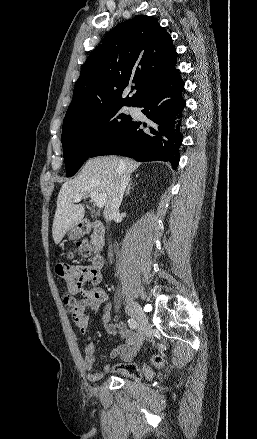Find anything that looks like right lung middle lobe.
Masks as SVG:
<instances>
[{"mask_svg":"<svg viewBox=\"0 0 257 439\" xmlns=\"http://www.w3.org/2000/svg\"><path fill=\"white\" fill-rule=\"evenodd\" d=\"M123 105H110L63 121L62 145L67 177L73 176L104 141L118 133L132 117L120 114Z\"/></svg>","mask_w":257,"mask_h":439,"instance_id":"1","label":"right lung middle lobe"}]
</instances>
